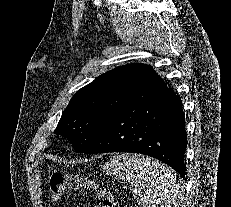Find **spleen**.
<instances>
[{"label":"spleen","mask_w":231,"mask_h":207,"mask_svg":"<svg viewBox=\"0 0 231 207\" xmlns=\"http://www.w3.org/2000/svg\"><path fill=\"white\" fill-rule=\"evenodd\" d=\"M107 174L127 180L144 207H176L183 201L180 181L161 162L142 155H117L104 165Z\"/></svg>","instance_id":"obj_1"}]
</instances>
